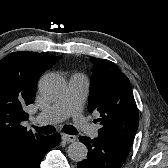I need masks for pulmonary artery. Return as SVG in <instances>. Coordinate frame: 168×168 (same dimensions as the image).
<instances>
[{"instance_id":"1","label":"pulmonary artery","mask_w":168,"mask_h":168,"mask_svg":"<svg viewBox=\"0 0 168 168\" xmlns=\"http://www.w3.org/2000/svg\"><path fill=\"white\" fill-rule=\"evenodd\" d=\"M89 89V79L80 73L71 75L63 97L56 103L41 111L36 119L39 123H56L73 117L77 127L91 137L98 136V128L88 122L82 115Z\"/></svg>"}]
</instances>
